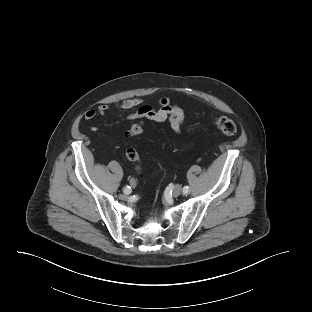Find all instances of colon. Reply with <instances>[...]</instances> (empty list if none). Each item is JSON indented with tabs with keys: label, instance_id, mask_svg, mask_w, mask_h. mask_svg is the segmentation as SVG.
Here are the masks:
<instances>
[{
	"label": "colon",
	"instance_id": "obj_1",
	"mask_svg": "<svg viewBox=\"0 0 312 312\" xmlns=\"http://www.w3.org/2000/svg\"><path fill=\"white\" fill-rule=\"evenodd\" d=\"M214 126L224 135L231 136L236 133V124L234 121L228 117L221 116V117H216L212 120ZM143 132V126L141 123L136 122L133 123L129 130L128 134L131 136H136L139 135ZM126 157L128 160L132 162H139V154L136 149L134 148H128L126 150Z\"/></svg>",
	"mask_w": 312,
	"mask_h": 312
}]
</instances>
